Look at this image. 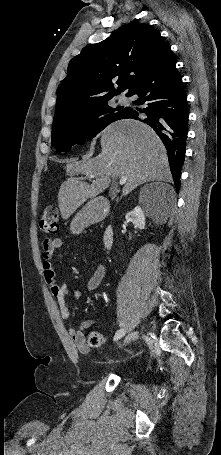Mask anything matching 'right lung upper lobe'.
<instances>
[{
	"instance_id": "right-lung-upper-lobe-1",
	"label": "right lung upper lobe",
	"mask_w": 221,
	"mask_h": 455,
	"mask_svg": "<svg viewBox=\"0 0 221 455\" xmlns=\"http://www.w3.org/2000/svg\"><path fill=\"white\" fill-rule=\"evenodd\" d=\"M170 49L160 33L145 23H130L104 41L86 46L68 65L53 123L68 118L135 86ZM118 87L115 88L114 85Z\"/></svg>"
}]
</instances>
